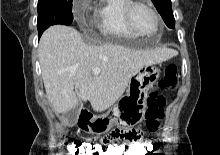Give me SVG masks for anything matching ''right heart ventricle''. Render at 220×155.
Instances as JSON below:
<instances>
[{
    "mask_svg": "<svg viewBox=\"0 0 220 155\" xmlns=\"http://www.w3.org/2000/svg\"><path fill=\"white\" fill-rule=\"evenodd\" d=\"M128 0H99L93 12V22L98 33L111 40L134 38L124 19Z\"/></svg>",
    "mask_w": 220,
    "mask_h": 155,
    "instance_id": "1",
    "label": "right heart ventricle"
}]
</instances>
